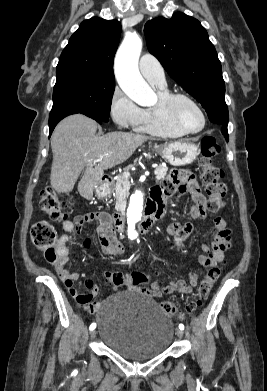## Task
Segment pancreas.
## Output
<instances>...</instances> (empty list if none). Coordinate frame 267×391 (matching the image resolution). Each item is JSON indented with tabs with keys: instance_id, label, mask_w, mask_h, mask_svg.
Masks as SVG:
<instances>
[{
	"instance_id": "cf45deb5",
	"label": "pancreas",
	"mask_w": 267,
	"mask_h": 391,
	"mask_svg": "<svg viewBox=\"0 0 267 391\" xmlns=\"http://www.w3.org/2000/svg\"><path fill=\"white\" fill-rule=\"evenodd\" d=\"M168 168L159 165L155 169V175L158 180H163L167 174ZM129 186V180L123 175L118 176L115 181L110 183V187L115 191L116 198L120 199L127 193V187Z\"/></svg>"
}]
</instances>
